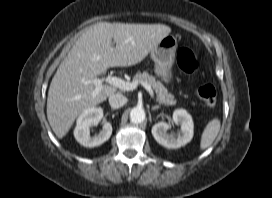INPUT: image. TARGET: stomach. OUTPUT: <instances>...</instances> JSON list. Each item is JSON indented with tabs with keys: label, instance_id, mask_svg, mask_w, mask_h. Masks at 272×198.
Segmentation results:
<instances>
[{
	"label": "stomach",
	"instance_id": "0dacf381",
	"mask_svg": "<svg viewBox=\"0 0 272 198\" xmlns=\"http://www.w3.org/2000/svg\"><path fill=\"white\" fill-rule=\"evenodd\" d=\"M177 46V39L172 35H168L150 53L155 63L154 71L156 76L166 83L172 80V66Z\"/></svg>",
	"mask_w": 272,
	"mask_h": 198
}]
</instances>
